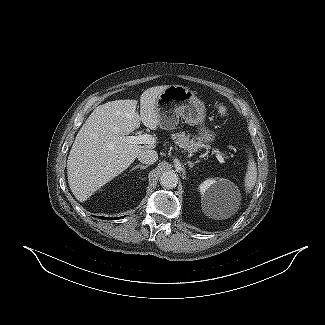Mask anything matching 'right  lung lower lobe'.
Segmentation results:
<instances>
[{
	"instance_id": "1",
	"label": "right lung lower lobe",
	"mask_w": 325,
	"mask_h": 325,
	"mask_svg": "<svg viewBox=\"0 0 325 325\" xmlns=\"http://www.w3.org/2000/svg\"><path fill=\"white\" fill-rule=\"evenodd\" d=\"M100 218H101V219H105V220H106V219H109V218H107V217H100Z\"/></svg>"
}]
</instances>
